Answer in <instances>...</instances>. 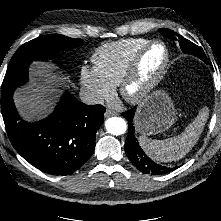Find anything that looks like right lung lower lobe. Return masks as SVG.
Returning <instances> with one entry per match:
<instances>
[{
  "label": "right lung lower lobe",
  "instance_id": "right-lung-lower-lobe-1",
  "mask_svg": "<svg viewBox=\"0 0 221 221\" xmlns=\"http://www.w3.org/2000/svg\"><path fill=\"white\" fill-rule=\"evenodd\" d=\"M16 87L1 91V111L16 151L36 168L52 175H70L93 154L105 107L85 105L70 93L55 112L37 123L21 120L13 103Z\"/></svg>",
  "mask_w": 221,
  "mask_h": 221
}]
</instances>
